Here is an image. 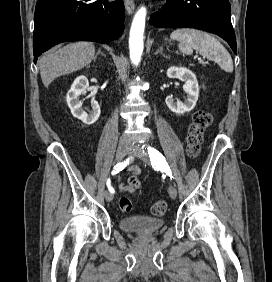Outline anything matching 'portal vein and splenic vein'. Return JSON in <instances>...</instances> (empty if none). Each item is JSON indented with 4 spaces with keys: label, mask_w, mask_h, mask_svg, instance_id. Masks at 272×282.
I'll return each instance as SVG.
<instances>
[{
    "label": "portal vein and splenic vein",
    "mask_w": 272,
    "mask_h": 282,
    "mask_svg": "<svg viewBox=\"0 0 272 282\" xmlns=\"http://www.w3.org/2000/svg\"><path fill=\"white\" fill-rule=\"evenodd\" d=\"M196 57H197V56H196ZM198 60H199V61H201V59H200V58H198Z\"/></svg>",
    "instance_id": "18ae733b"
}]
</instances>
